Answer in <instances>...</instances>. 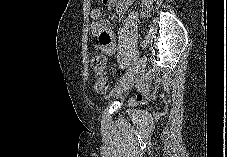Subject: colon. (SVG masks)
<instances>
[{"mask_svg": "<svg viewBox=\"0 0 227 157\" xmlns=\"http://www.w3.org/2000/svg\"><path fill=\"white\" fill-rule=\"evenodd\" d=\"M154 0H141L140 14L142 17H148L152 13V5ZM106 64V59L103 54H96L91 60V68L95 73H101ZM108 80L105 77H99L94 83V90L99 95L106 94L108 90ZM145 101L143 95L139 94L135 99L131 100V104H141Z\"/></svg>", "mask_w": 227, "mask_h": 157, "instance_id": "1", "label": "colon"}]
</instances>
